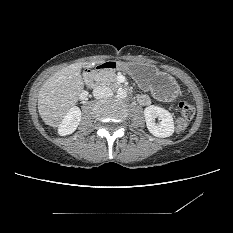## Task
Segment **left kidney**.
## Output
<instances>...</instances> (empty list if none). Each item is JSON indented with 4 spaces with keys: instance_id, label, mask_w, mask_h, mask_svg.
Here are the masks:
<instances>
[{
    "instance_id": "left-kidney-1",
    "label": "left kidney",
    "mask_w": 233,
    "mask_h": 233,
    "mask_svg": "<svg viewBox=\"0 0 233 233\" xmlns=\"http://www.w3.org/2000/svg\"><path fill=\"white\" fill-rule=\"evenodd\" d=\"M144 117L149 132L160 138H166L174 133V122L171 113L158 106H148L144 110ZM155 118L160 120L155 122Z\"/></svg>"
}]
</instances>
